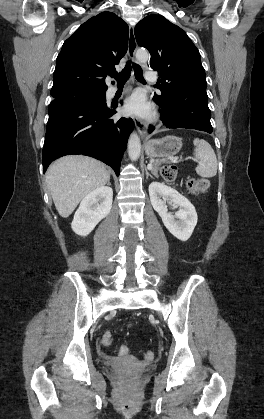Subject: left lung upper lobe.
I'll return each mask as SVG.
<instances>
[{"label": "left lung upper lobe", "instance_id": "left-lung-upper-lobe-1", "mask_svg": "<svg viewBox=\"0 0 264 419\" xmlns=\"http://www.w3.org/2000/svg\"><path fill=\"white\" fill-rule=\"evenodd\" d=\"M134 33L138 45L151 54L149 67L158 72L161 96L174 99L196 87L206 88L200 53L181 28L161 15H149Z\"/></svg>", "mask_w": 264, "mask_h": 419}]
</instances>
